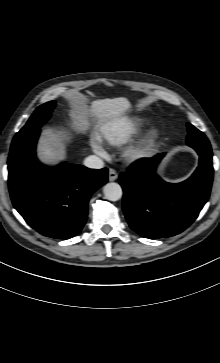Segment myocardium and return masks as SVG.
I'll list each match as a JSON object with an SVG mask.
<instances>
[{"instance_id":"obj_1","label":"myocardium","mask_w":220,"mask_h":363,"mask_svg":"<svg viewBox=\"0 0 220 363\" xmlns=\"http://www.w3.org/2000/svg\"><path fill=\"white\" fill-rule=\"evenodd\" d=\"M157 138L158 134L155 131L140 136L124 150L125 159L130 163L147 159L153 151Z\"/></svg>"}]
</instances>
